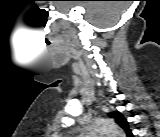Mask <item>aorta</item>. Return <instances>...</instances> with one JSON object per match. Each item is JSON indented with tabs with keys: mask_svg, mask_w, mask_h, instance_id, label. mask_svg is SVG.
<instances>
[{
	"mask_svg": "<svg viewBox=\"0 0 160 137\" xmlns=\"http://www.w3.org/2000/svg\"><path fill=\"white\" fill-rule=\"evenodd\" d=\"M93 131L98 134H105L109 137H124V132L113 122L101 121Z\"/></svg>",
	"mask_w": 160,
	"mask_h": 137,
	"instance_id": "762f6f07",
	"label": "aorta"
}]
</instances>
